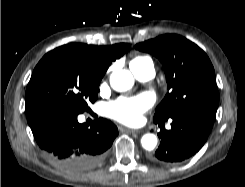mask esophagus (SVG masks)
I'll list each match as a JSON object with an SVG mask.
<instances>
[{
    "mask_svg": "<svg viewBox=\"0 0 245 187\" xmlns=\"http://www.w3.org/2000/svg\"><path fill=\"white\" fill-rule=\"evenodd\" d=\"M121 131L128 132V133H139L141 132L140 130H135V129H129V128H121Z\"/></svg>",
    "mask_w": 245,
    "mask_h": 187,
    "instance_id": "obj_1",
    "label": "esophagus"
}]
</instances>
